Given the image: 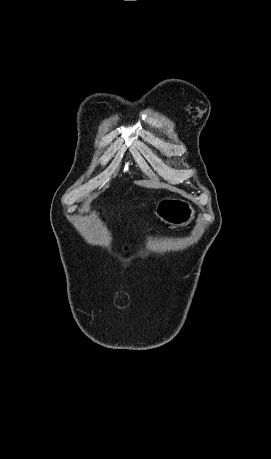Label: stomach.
Returning a JSON list of instances; mask_svg holds the SVG:
<instances>
[{"label": "stomach", "mask_w": 271, "mask_h": 459, "mask_svg": "<svg viewBox=\"0 0 271 459\" xmlns=\"http://www.w3.org/2000/svg\"><path fill=\"white\" fill-rule=\"evenodd\" d=\"M194 214L191 204L184 200H161L155 208V216L164 224H169L171 228L188 226Z\"/></svg>", "instance_id": "obj_1"}]
</instances>
